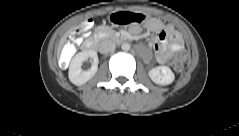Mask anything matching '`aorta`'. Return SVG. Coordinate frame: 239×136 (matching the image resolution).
<instances>
[{
	"instance_id": "762f6f07",
	"label": "aorta",
	"mask_w": 239,
	"mask_h": 136,
	"mask_svg": "<svg viewBox=\"0 0 239 136\" xmlns=\"http://www.w3.org/2000/svg\"><path fill=\"white\" fill-rule=\"evenodd\" d=\"M121 48L124 51H128V50H130V45L128 43H123Z\"/></svg>"
}]
</instances>
